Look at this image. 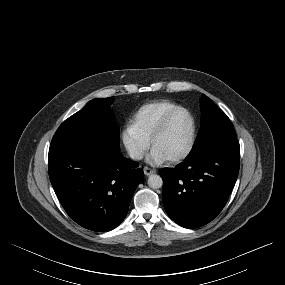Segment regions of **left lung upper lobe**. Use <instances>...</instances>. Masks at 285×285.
<instances>
[{
  "label": "left lung upper lobe",
  "instance_id": "obj_1",
  "mask_svg": "<svg viewBox=\"0 0 285 285\" xmlns=\"http://www.w3.org/2000/svg\"><path fill=\"white\" fill-rule=\"evenodd\" d=\"M200 102L202 111L201 128L186 159H195L218 151L239 150V142L228 116L206 95L201 96Z\"/></svg>",
  "mask_w": 285,
  "mask_h": 285
}]
</instances>
